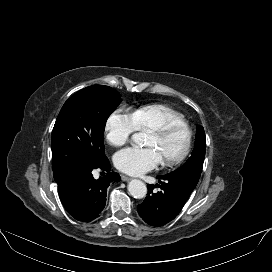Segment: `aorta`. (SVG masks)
I'll use <instances>...</instances> for the list:
<instances>
[{"label": "aorta", "instance_id": "aorta-1", "mask_svg": "<svg viewBox=\"0 0 272 272\" xmlns=\"http://www.w3.org/2000/svg\"><path fill=\"white\" fill-rule=\"evenodd\" d=\"M132 141L136 144L142 143V136L139 133L132 135ZM128 192L136 199H142L147 194V187L144 182L138 179H132L128 184Z\"/></svg>", "mask_w": 272, "mask_h": 272}]
</instances>
